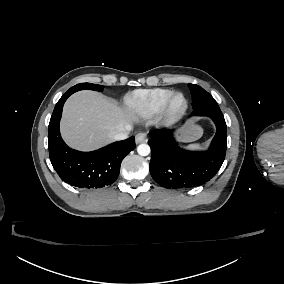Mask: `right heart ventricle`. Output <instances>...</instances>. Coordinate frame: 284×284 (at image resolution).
<instances>
[{
	"mask_svg": "<svg viewBox=\"0 0 284 284\" xmlns=\"http://www.w3.org/2000/svg\"><path fill=\"white\" fill-rule=\"evenodd\" d=\"M173 92L174 90L163 87L135 90L125 96L126 109L136 119L151 118L165 98Z\"/></svg>",
	"mask_w": 284,
	"mask_h": 284,
	"instance_id": "right-heart-ventricle-1",
	"label": "right heart ventricle"
}]
</instances>
